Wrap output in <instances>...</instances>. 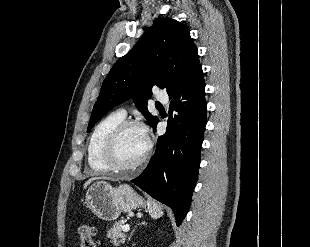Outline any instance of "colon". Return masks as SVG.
Segmentation results:
<instances>
[{"instance_id": "5ec220e1", "label": "colon", "mask_w": 310, "mask_h": 247, "mask_svg": "<svg viewBox=\"0 0 310 247\" xmlns=\"http://www.w3.org/2000/svg\"><path fill=\"white\" fill-rule=\"evenodd\" d=\"M80 244L79 247H96L94 236L95 229L89 225H83L79 229Z\"/></svg>"}]
</instances>
